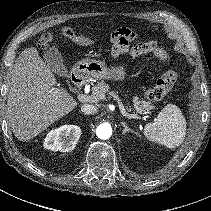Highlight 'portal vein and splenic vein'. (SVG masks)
Segmentation results:
<instances>
[{"label":"portal vein and splenic vein","mask_w":211,"mask_h":211,"mask_svg":"<svg viewBox=\"0 0 211 211\" xmlns=\"http://www.w3.org/2000/svg\"><path fill=\"white\" fill-rule=\"evenodd\" d=\"M109 94L112 95V97L114 98V100H116L118 102L120 112L123 114V116H125L127 118H130V119H136V118H138V115H136V114H128L126 112L123 104L120 102L119 97L117 95H115L114 92H110ZM78 99L80 101H83V102H88V101H94L95 98L93 96H87V95L79 94L78 95Z\"/></svg>","instance_id":"obj_1"}]
</instances>
